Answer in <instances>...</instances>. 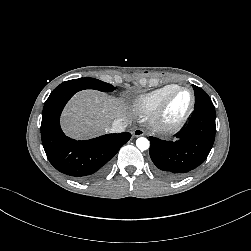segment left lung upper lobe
Returning <instances> with one entry per match:
<instances>
[{
    "mask_svg": "<svg viewBox=\"0 0 251 251\" xmlns=\"http://www.w3.org/2000/svg\"><path fill=\"white\" fill-rule=\"evenodd\" d=\"M193 89L195 91V109H206L215 112V107L207 95V93L201 88L193 85Z\"/></svg>",
    "mask_w": 251,
    "mask_h": 251,
    "instance_id": "left-lung-upper-lobe-1",
    "label": "left lung upper lobe"
}]
</instances>
